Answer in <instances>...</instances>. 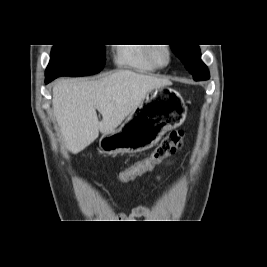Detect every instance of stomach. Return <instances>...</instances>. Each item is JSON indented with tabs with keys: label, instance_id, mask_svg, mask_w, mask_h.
Returning <instances> with one entry per match:
<instances>
[{
	"label": "stomach",
	"instance_id": "obj_1",
	"mask_svg": "<svg viewBox=\"0 0 267 267\" xmlns=\"http://www.w3.org/2000/svg\"><path fill=\"white\" fill-rule=\"evenodd\" d=\"M186 117L182 97L176 91L159 87L151 90L121 127L103 134L100 144L105 153L116 155L147 150Z\"/></svg>",
	"mask_w": 267,
	"mask_h": 267
}]
</instances>
